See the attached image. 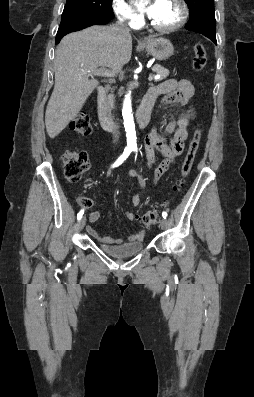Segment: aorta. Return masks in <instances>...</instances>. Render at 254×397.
Segmentation results:
<instances>
[{"label": "aorta", "mask_w": 254, "mask_h": 397, "mask_svg": "<svg viewBox=\"0 0 254 397\" xmlns=\"http://www.w3.org/2000/svg\"><path fill=\"white\" fill-rule=\"evenodd\" d=\"M122 116L124 121V128L126 131L127 145L129 147H135L137 145L136 131H135L133 114H132L130 92L125 96L123 102Z\"/></svg>", "instance_id": "762f6f07"}]
</instances>
